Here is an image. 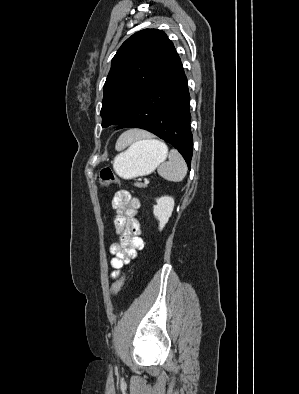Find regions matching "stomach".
I'll list each match as a JSON object with an SVG mask.
<instances>
[{
	"label": "stomach",
	"mask_w": 299,
	"mask_h": 394,
	"mask_svg": "<svg viewBox=\"0 0 299 394\" xmlns=\"http://www.w3.org/2000/svg\"><path fill=\"white\" fill-rule=\"evenodd\" d=\"M114 160L115 172L124 179L152 173L167 157L168 150L160 145L140 140ZM136 143V142H135Z\"/></svg>",
	"instance_id": "stomach-1"
}]
</instances>
